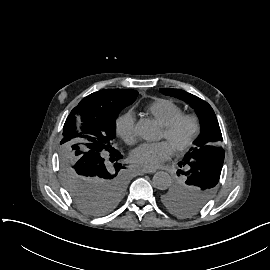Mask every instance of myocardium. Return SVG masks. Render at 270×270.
<instances>
[{
  "instance_id": "obj_1",
  "label": "myocardium",
  "mask_w": 270,
  "mask_h": 270,
  "mask_svg": "<svg viewBox=\"0 0 270 270\" xmlns=\"http://www.w3.org/2000/svg\"><path fill=\"white\" fill-rule=\"evenodd\" d=\"M185 122H189L191 124V131L188 138L185 141H180L178 140L176 134L179 127ZM198 129H199L198 119L191 114L182 115L181 117L173 121L168 127H165L167 135L171 140H173L178 149H185L191 146L197 136Z\"/></svg>"
}]
</instances>
